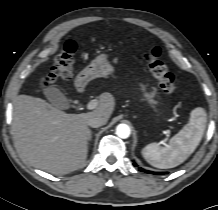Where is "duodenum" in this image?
I'll return each instance as SVG.
<instances>
[{"label": "duodenum", "mask_w": 218, "mask_h": 210, "mask_svg": "<svg viewBox=\"0 0 218 210\" xmlns=\"http://www.w3.org/2000/svg\"><path fill=\"white\" fill-rule=\"evenodd\" d=\"M85 84H86V81H85L84 76H80V77L76 80V86H77L78 88H84Z\"/></svg>", "instance_id": "410a0bca"}]
</instances>
